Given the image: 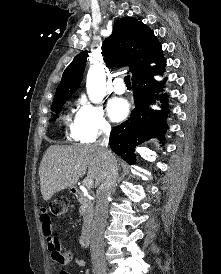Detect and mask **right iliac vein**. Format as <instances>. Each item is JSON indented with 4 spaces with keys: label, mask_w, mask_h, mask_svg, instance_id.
Wrapping results in <instances>:
<instances>
[{
    "label": "right iliac vein",
    "mask_w": 221,
    "mask_h": 274,
    "mask_svg": "<svg viewBox=\"0 0 221 274\" xmlns=\"http://www.w3.org/2000/svg\"><path fill=\"white\" fill-rule=\"evenodd\" d=\"M96 274H107L105 266L98 265L95 267Z\"/></svg>",
    "instance_id": "obj_1"
}]
</instances>
